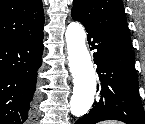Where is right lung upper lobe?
<instances>
[{"label":"right lung upper lobe","instance_id":"right-lung-upper-lobe-1","mask_svg":"<svg viewBox=\"0 0 145 124\" xmlns=\"http://www.w3.org/2000/svg\"><path fill=\"white\" fill-rule=\"evenodd\" d=\"M43 27L41 0H0V41L33 35Z\"/></svg>","mask_w":145,"mask_h":124}]
</instances>
